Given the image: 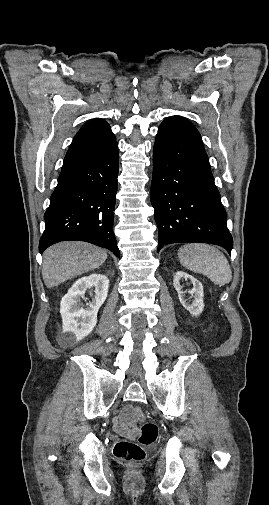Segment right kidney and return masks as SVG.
<instances>
[{"label": "right kidney", "mask_w": 269, "mask_h": 505, "mask_svg": "<svg viewBox=\"0 0 269 505\" xmlns=\"http://www.w3.org/2000/svg\"><path fill=\"white\" fill-rule=\"evenodd\" d=\"M108 288V278L96 273L82 277L72 285L60 304L64 341L75 342L92 332L97 323L98 310L106 300ZM86 292L92 301L84 308L81 299H87Z\"/></svg>", "instance_id": "right-kidney-1"}]
</instances>
